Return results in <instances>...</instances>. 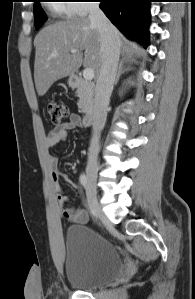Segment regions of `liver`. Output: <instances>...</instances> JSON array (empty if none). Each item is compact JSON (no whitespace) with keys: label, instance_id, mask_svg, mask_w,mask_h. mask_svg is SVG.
<instances>
[{"label":"liver","instance_id":"1","mask_svg":"<svg viewBox=\"0 0 195 299\" xmlns=\"http://www.w3.org/2000/svg\"><path fill=\"white\" fill-rule=\"evenodd\" d=\"M117 33L120 47H125L123 59L132 58L137 50L118 30ZM34 45V80L39 96L45 95L55 81L73 75L81 65L92 68L99 76L102 64L100 35L96 24L87 17H74L43 28L36 35ZM72 49L77 52L71 53Z\"/></svg>","mask_w":195,"mask_h":299}]
</instances>
